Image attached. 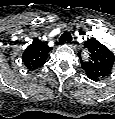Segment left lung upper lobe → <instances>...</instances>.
<instances>
[{
    "label": "left lung upper lobe",
    "mask_w": 115,
    "mask_h": 119,
    "mask_svg": "<svg viewBox=\"0 0 115 119\" xmlns=\"http://www.w3.org/2000/svg\"><path fill=\"white\" fill-rule=\"evenodd\" d=\"M84 45L90 53V60L88 62L82 61V67L87 76L103 78L111 74L115 62L114 54L95 38H88Z\"/></svg>",
    "instance_id": "left-lung-upper-lobe-1"
}]
</instances>
